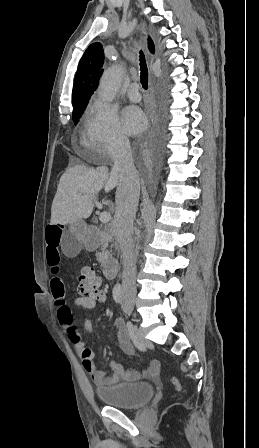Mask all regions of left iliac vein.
I'll return each instance as SVG.
<instances>
[{"label":"left iliac vein","instance_id":"left-iliac-vein-1","mask_svg":"<svg viewBox=\"0 0 259 448\" xmlns=\"http://www.w3.org/2000/svg\"><path fill=\"white\" fill-rule=\"evenodd\" d=\"M122 309L124 311L125 314L130 315L131 314V310L128 308L126 302H123L122 304Z\"/></svg>","mask_w":259,"mask_h":448}]
</instances>
